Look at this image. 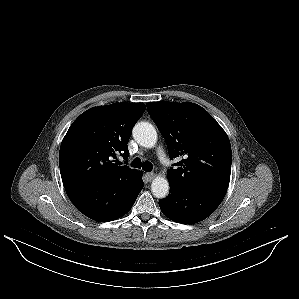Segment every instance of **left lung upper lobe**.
Returning <instances> with one entry per match:
<instances>
[{
  "mask_svg": "<svg viewBox=\"0 0 299 299\" xmlns=\"http://www.w3.org/2000/svg\"><path fill=\"white\" fill-rule=\"evenodd\" d=\"M147 111L162 133L170 158L181 162L167 172L169 183L203 185L227 190L232 153L229 138L201 106L191 103L152 102Z\"/></svg>",
  "mask_w": 299,
  "mask_h": 299,
  "instance_id": "left-lung-upper-lobe-1",
  "label": "left lung upper lobe"
}]
</instances>
